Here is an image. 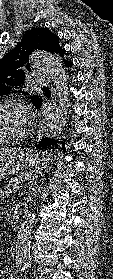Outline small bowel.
Returning a JSON list of instances; mask_svg holds the SVG:
<instances>
[{
    "instance_id": "1",
    "label": "small bowel",
    "mask_w": 113,
    "mask_h": 279,
    "mask_svg": "<svg viewBox=\"0 0 113 279\" xmlns=\"http://www.w3.org/2000/svg\"><path fill=\"white\" fill-rule=\"evenodd\" d=\"M0 196L2 197V190H0ZM4 278L5 279H14L15 278V276L10 268L5 269Z\"/></svg>"
}]
</instances>
